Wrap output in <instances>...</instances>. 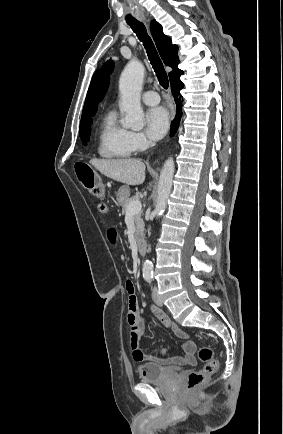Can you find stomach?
Wrapping results in <instances>:
<instances>
[{
    "mask_svg": "<svg viewBox=\"0 0 283 434\" xmlns=\"http://www.w3.org/2000/svg\"><path fill=\"white\" fill-rule=\"evenodd\" d=\"M117 202L119 203V205H123L126 203V201L129 199L130 196V189L128 186H121L118 189L117 192Z\"/></svg>",
    "mask_w": 283,
    "mask_h": 434,
    "instance_id": "obj_1",
    "label": "stomach"
}]
</instances>
